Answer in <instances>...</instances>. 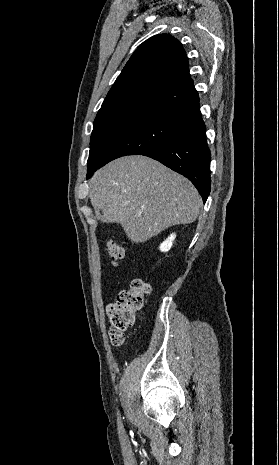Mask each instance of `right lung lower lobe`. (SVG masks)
<instances>
[{"instance_id":"98d812e1","label":"right lung lower lobe","mask_w":279,"mask_h":465,"mask_svg":"<svg viewBox=\"0 0 279 465\" xmlns=\"http://www.w3.org/2000/svg\"><path fill=\"white\" fill-rule=\"evenodd\" d=\"M205 131L206 127L198 109L183 118L168 139L142 154L187 177L199 191L204 203L211 187V157ZM97 169L88 171L87 178Z\"/></svg>"}]
</instances>
